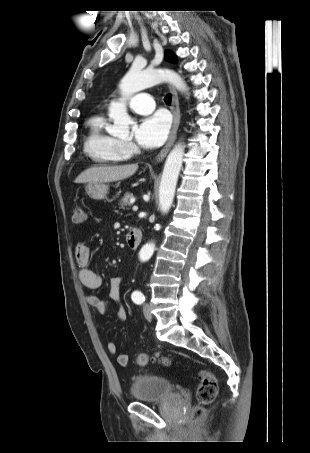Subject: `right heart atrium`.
<instances>
[{
    "mask_svg": "<svg viewBox=\"0 0 310 453\" xmlns=\"http://www.w3.org/2000/svg\"><path fill=\"white\" fill-rule=\"evenodd\" d=\"M122 146L127 155L133 154L136 150L135 145L130 141H123Z\"/></svg>",
    "mask_w": 310,
    "mask_h": 453,
    "instance_id": "1",
    "label": "right heart atrium"
}]
</instances>
